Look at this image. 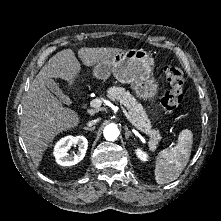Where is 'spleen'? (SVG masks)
Wrapping results in <instances>:
<instances>
[{"mask_svg":"<svg viewBox=\"0 0 221 221\" xmlns=\"http://www.w3.org/2000/svg\"><path fill=\"white\" fill-rule=\"evenodd\" d=\"M192 144V132L184 129L175 147L159 152L155 162V180L158 184L170 183L180 176L189 161Z\"/></svg>","mask_w":221,"mask_h":221,"instance_id":"spleen-1","label":"spleen"}]
</instances>
